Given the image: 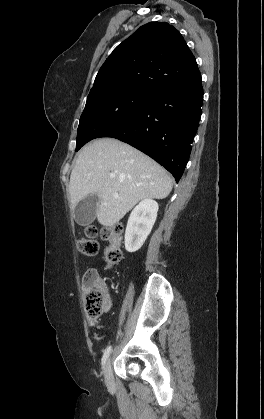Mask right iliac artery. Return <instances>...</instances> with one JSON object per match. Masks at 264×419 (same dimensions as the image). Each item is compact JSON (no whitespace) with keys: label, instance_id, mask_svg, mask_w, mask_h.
<instances>
[{"label":"right iliac artery","instance_id":"82829eb1","mask_svg":"<svg viewBox=\"0 0 264 419\" xmlns=\"http://www.w3.org/2000/svg\"><path fill=\"white\" fill-rule=\"evenodd\" d=\"M111 351H112V346H108L106 348L104 354H103V357H102V367H104L105 362H106L108 356L110 355Z\"/></svg>","mask_w":264,"mask_h":419}]
</instances>
